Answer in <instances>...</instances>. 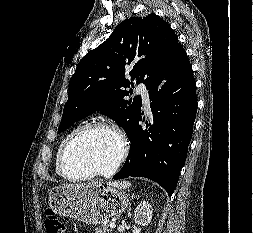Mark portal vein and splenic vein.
I'll return each mask as SVG.
<instances>
[{"label": "portal vein and splenic vein", "mask_w": 253, "mask_h": 233, "mask_svg": "<svg viewBox=\"0 0 253 233\" xmlns=\"http://www.w3.org/2000/svg\"><path fill=\"white\" fill-rule=\"evenodd\" d=\"M110 228H115L116 227V225H115V223H110Z\"/></svg>", "instance_id": "1"}]
</instances>
